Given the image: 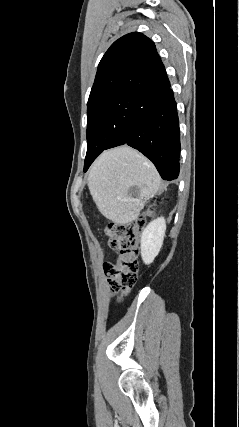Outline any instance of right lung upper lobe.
<instances>
[{"mask_svg": "<svg viewBox=\"0 0 239 427\" xmlns=\"http://www.w3.org/2000/svg\"><path fill=\"white\" fill-rule=\"evenodd\" d=\"M170 86L155 44L137 32L116 40L101 59L87 103L127 95L146 97Z\"/></svg>", "mask_w": 239, "mask_h": 427, "instance_id": "right-lung-upper-lobe-1", "label": "right lung upper lobe"}]
</instances>
